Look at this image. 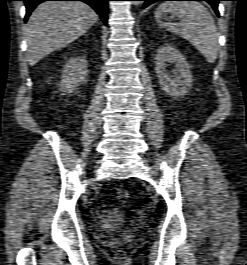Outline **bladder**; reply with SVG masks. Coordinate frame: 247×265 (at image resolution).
<instances>
[{
    "instance_id": "31cf9c89",
    "label": "bladder",
    "mask_w": 247,
    "mask_h": 265,
    "mask_svg": "<svg viewBox=\"0 0 247 265\" xmlns=\"http://www.w3.org/2000/svg\"><path fill=\"white\" fill-rule=\"evenodd\" d=\"M128 219L125 216H121L117 213H109L106 218V226L109 228H117L124 224ZM105 230V227H103Z\"/></svg>"
}]
</instances>
